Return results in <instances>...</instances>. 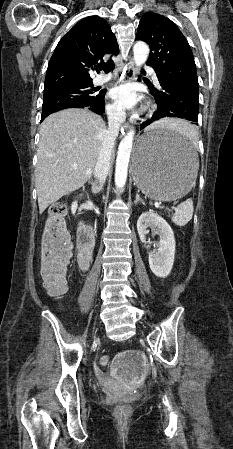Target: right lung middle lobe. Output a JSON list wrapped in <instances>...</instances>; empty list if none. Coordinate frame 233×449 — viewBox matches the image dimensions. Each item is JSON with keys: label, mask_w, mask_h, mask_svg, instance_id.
Listing matches in <instances>:
<instances>
[{"label": "right lung middle lobe", "mask_w": 233, "mask_h": 449, "mask_svg": "<svg viewBox=\"0 0 233 449\" xmlns=\"http://www.w3.org/2000/svg\"><path fill=\"white\" fill-rule=\"evenodd\" d=\"M100 94L94 93L93 83L66 85L44 91L42 113L56 111L77 103L92 104L100 97Z\"/></svg>", "instance_id": "right-lung-middle-lobe-1"}]
</instances>
